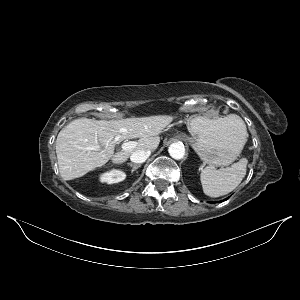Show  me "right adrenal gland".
<instances>
[{
    "label": "right adrenal gland",
    "instance_id": "1",
    "mask_svg": "<svg viewBox=\"0 0 300 300\" xmlns=\"http://www.w3.org/2000/svg\"><path fill=\"white\" fill-rule=\"evenodd\" d=\"M128 165L132 167L131 173H133L135 170H137L141 166V164L135 165L132 163H128Z\"/></svg>",
    "mask_w": 300,
    "mask_h": 300
}]
</instances>
